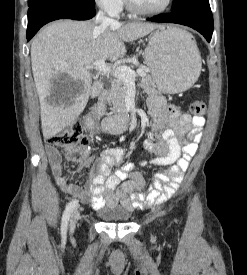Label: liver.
I'll use <instances>...</instances> for the list:
<instances>
[{
	"instance_id": "6515ba94",
	"label": "liver",
	"mask_w": 247,
	"mask_h": 275,
	"mask_svg": "<svg viewBox=\"0 0 247 275\" xmlns=\"http://www.w3.org/2000/svg\"><path fill=\"white\" fill-rule=\"evenodd\" d=\"M161 25L132 22L103 27L89 21L59 20L42 29L31 43V66L40 101L42 132L54 137L73 124L83 112L89 96L95 97L103 85L92 82L90 66L97 60L123 59L125 42L144 37ZM67 74L78 82L75 95L51 93V81Z\"/></svg>"
}]
</instances>
